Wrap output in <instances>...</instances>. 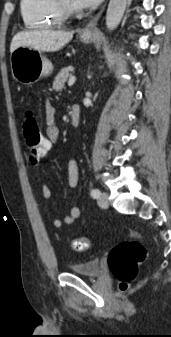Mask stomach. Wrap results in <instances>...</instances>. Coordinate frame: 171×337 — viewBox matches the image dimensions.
I'll return each mask as SVG.
<instances>
[{"label": "stomach", "mask_w": 171, "mask_h": 337, "mask_svg": "<svg viewBox=\"0 0 171 337\" xmlns=\"http://www.w3.org/2000/svg\"><path fill=\"white\" fill-rule=\"evenodd\" d=\"M91 35H81V41L89 43ZM11 71L14 79L24 85H30L42 77L51 75L53 65L39 50L29 46H20L11 54Z\"/></svg>", "instance_id": "obj_1"}]
</instances>
